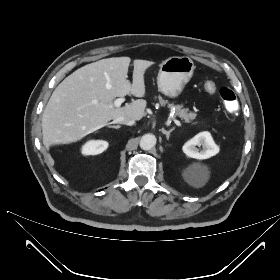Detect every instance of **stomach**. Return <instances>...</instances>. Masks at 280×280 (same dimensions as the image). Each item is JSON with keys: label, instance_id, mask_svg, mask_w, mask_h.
I'll return each mask as SVG.
<instances>
[{"label": "stomach", "instance_id": "obj_1", "mask_svg": "<svg viewBox=\"0 0 280 280\" xmlns=\"http://www.w3.org/2000/svg\"><path fill=\"white\" fill-rule=\"evenodd\" d=\"M195 65L188 56H174L160 64L158 90L169 98H177L190 81Z\"/></svg>", "mask_w": 280, "mask_h": 280}]
</instances>
